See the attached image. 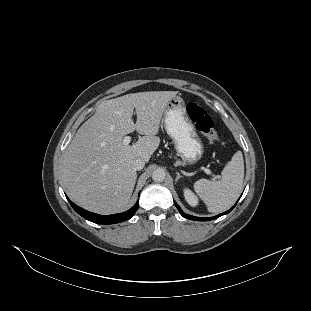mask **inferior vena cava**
Segmentation results:
<instances>
[{
	"mask_svg": "<svg viewBox=\"0 0 311 311\" xmlns=\"http://www.w3.org/2000/svg\"><path fill=\"white\" fill-rule=\"evenodd\" d=\"M132 165L136 171H139V170H142L144 168L145 162L142 158L138 157V158L134 159Z\"/></svg>",
	"mask_w": 311,
	"mask_h": 311,
	"instance_id": "obj_1",
	"label": "inferior vena cava"
}]
</instances>
